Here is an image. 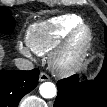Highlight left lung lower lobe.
I'll list each match as a JSON object with an SVG mask.
<instances>
[{
  "instance_id": "left-lung-lower-lobe-1",
  "label": "left lung lower lobe",
  "mask_w": 107,
  "mask_h": 107,
  "mask_svg": "<svg viewBox=\"0 0 107 107\" xmlns=\"http://www.w3.org/2000/svg\"><path fill=\"white\" fill-rule=\"evenodd\" d=\"M53 107H107V65L95 78L79 82L77 75L59 80Z\"/></svg>"
}]
</instances>
